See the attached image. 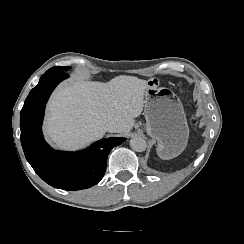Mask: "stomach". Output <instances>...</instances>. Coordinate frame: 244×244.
Returning <instances> with one entry per match:
<instances>
[{
	"label": "stomach",
	"mask_w": 244,
	"mask_h": 244,
	"mask_svg": "<svg viewBox=\"0 0 244 244\" xmlns=\"http://www.w3.org/2000/svg\"><path fill=\"white\" fill-rule=\"evenodd\" d=\"M145 90L146 132L158 141L157 154L172 159L183 152L188 143L189 127L180 98L158 80L148 81Z\"/></svg>",
	"instance_id": "1"
}]
</instances>
